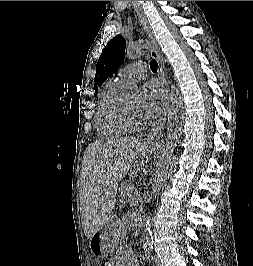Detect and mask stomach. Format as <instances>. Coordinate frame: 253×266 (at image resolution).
<instances>
[{
    "instance_id": "1",
    "label": "stomach",
    "mask_w": 253,
    "mask_h": 266,
    "mask_svg": "<svg viewBox=\"0 0 253 266\" xmlns=\"http://www.w3.org/2000/svg\"><path fill=\"white\" fill-rule=\"evenodd\" d=\"M154 144L144 145L142 153L152 150ZM121 235V223L117 215H110L106 223L97 231L89 241L91 252L97 258L109 257L117 248Z\"/></svg>"
}]
</instances>
